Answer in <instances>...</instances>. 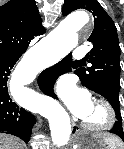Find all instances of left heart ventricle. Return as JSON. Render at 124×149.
<instances>
[{"label": "left heart ventricle", "mask_w": 124, "mask_h": 149, "mask_svg": "<svg viewBox=\"0 0 124 149\" xmlns=\"http://www.w3.org/2000/svg\"><path fill=\"white\" fill-rule=\"evenodd\" d=\"M103 117H104V113L102 109L93 104V107L89 112V114L87 115V117L85 118V120H88L93 123H99L102 121Z\"/></svg>", "instance_id": "obj_1"}]
</instances>
